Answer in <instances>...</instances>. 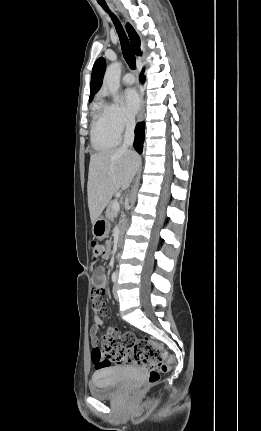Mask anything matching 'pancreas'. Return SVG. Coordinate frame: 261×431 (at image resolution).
I'll return each instance as SVG.
<instances>
[{
  "instance_id": "1",
  "label": "pancreas",
  "mask_w": 261,
  "mask_h": 431,
  "mask_svg": "<svg viewBox=\"0 0 261 431\" xmlns=\"http://www.w3.org/2000/svg\"><path fill=\"white\" fill-rule=\"evenodd\" d=\"M115 202H117V200L116 199H114V200H111L110 202H109V204H108V206H107V209H106V217L110 220V221H113L114 220V217H115V210H114V208H113V205H114V203Z\"/></svg>"
}]
</instances>
